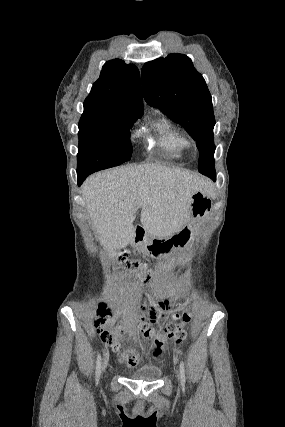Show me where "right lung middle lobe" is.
Returning a JSON list of instances; mask_svg holds the SVG:
<instances>
[{
	"mask_svg": "<svg viewBox=\"0 0 285 427\" xmlns=\"http://www.w3.org/2000/svg\"><path fill=\"white\" fill-rule=\"evenodd\" d=\"M137 118L129 121L79 124L77 172L93 173L130 160L132 145L129 129Z\"/></svg>",
	"mask_w": 285,
	"mask_h": 427,
	"instance_id": "obj_1",
	"label": "right lung middle lobe"
}]
</instances>
